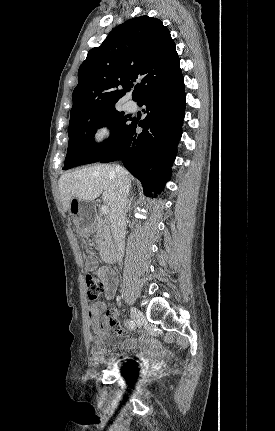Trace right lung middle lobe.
Masks as SVG:
<instances>
[{
	"mask_svg": "<svg viewBox=\"0 0 275 431\" xmlns=\"http://www.w3.org/2000/svg\"><path fill=\"white\" fill-rule=\"evenodd\" d=\"M131 119L124 112H118L114 106L70 122L68 150L63 170L98 162L123 136ZM104 124H112L110 139L96 144L94 134Z\"/></svg>",
	"mask_w": 275,
	"mask_h": 431,
	"instance_id": "1",
	"label": "right lung middle lobe"
}]
</instances>
